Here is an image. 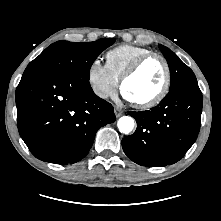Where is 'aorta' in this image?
<instances>
[{"label": "aorta", "mask_w": 221, "mask_h": 221, "mask_svg": "<svg viewBox=\"0 0 221 221\" xmlns=\"http://www.w3.org/2000/svg\"><path fill=\"white\" fill-rule=\"evenodd\" d=\"M118 129L121 133L129 134L134 128V119L129 116H123L118 120Z\"/></svg>", "instance_id": "1"}]
</instances>
